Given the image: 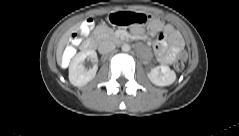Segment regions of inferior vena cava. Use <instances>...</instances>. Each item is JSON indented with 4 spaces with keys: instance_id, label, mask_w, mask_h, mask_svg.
Returning a JSON list of instances; mask_svg holds the SVG:
<instances>
[{
    "instance_id": "1",
    "label": "inferior vena cava",
    "mask_w": 239,
    "mask_h": 136,
    "mask_svg": "<svg viewBox=\"0 0 239 136\" xmlns=\"http://www.w3.org/2000/svg\"><path fill=\"white\" fill-rule=\"evenodd\" d=\"M115 44L114 42H112L111 40H104L102 42H100L99 47H98V51L101 54H106L109 52H112L113 50H115Z\"/></svg>"
}]
</instances>
